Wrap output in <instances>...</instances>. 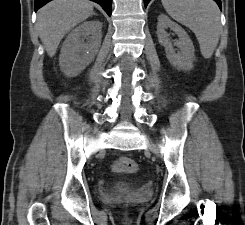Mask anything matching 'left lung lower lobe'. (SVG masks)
I'll use <instances>...</instances> for the list:
<instances>
[{
    "label": "left lung lower lobe",
    "mask_w": 245,
    "mask_h": 225,
    "mask_svg": "<svg viewBox=\"0 0 245 225\" xmlns=\"http://www.w3.org/2000/svg\"><path fill=\"white\" fill-rule=\"evenodd\" d=\"M214 1L218 4L219 8L221 9V7H222L221 0H214ZM149 2H150V0H144L145 7L147 6V4Z\"/></svg>",
    "instance_id": "left-lung-lower-lobe-1"
}]
</instances>
